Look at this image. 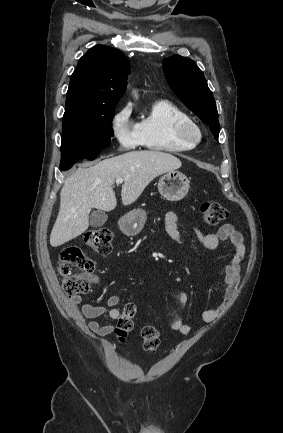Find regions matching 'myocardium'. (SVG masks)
Returning <instances> with one entry per match:
<instances>
[{
	"instance_id": "obj_1",
	"label": "myocardium",
	"mask_w": 283,
	"mask_h": 433,
	"mask_svg": "<svg viewBox=\"0 0 283 433\" xmlns=\"http://www.w3.org/2000/svg\"><path fill=\"white\" fill-rule=\"evenodd\" d=\"M201 125L192 118L177 121L174 128V139L184 150L196 147L203 139Z\"/></svg>"
}]
</instances>
